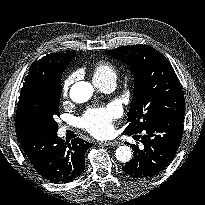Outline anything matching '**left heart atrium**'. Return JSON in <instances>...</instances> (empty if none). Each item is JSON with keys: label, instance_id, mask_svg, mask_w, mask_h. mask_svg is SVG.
Returning a JSON list of instances; mask_svg holds the SVG:
<instances>
[{"label": "left heart atrium", "instance_id": "1", "mask_svg": "<svg viewBox=\"0 0 205 205\" xmlns=\"http://www.w3.org/2000/svg\"><path fill=\"white\" fill-rule=\"evenodd\" d=\"M120 114V108L115 105L90 109L81 118V125L92 135L101 137L112 131V122Z\"/></svg>", "mask_w": 205, "mask_h": 205}]
</instances>
